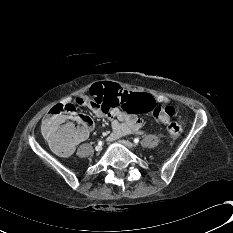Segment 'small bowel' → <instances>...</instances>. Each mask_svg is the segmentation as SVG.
<instances>
[{
	"instance_id": "1",
	"label": "small bowel",
	"mask_w": 233,
	"mask_h": 233,
	"mask_svg": "<svg viewBox=\"0 0 233 233\" xmlns=\"http://www.w3.org/2000/svg\"><path fill=\"white\" fill-rule=\"evenodd\" d=\"M89 92L90 89L87 94L78 96L74 100V103L71 104L88 108L99 118H109L112 126L113 139H118L129 134L142 133L143 121L137 116V113L120 109L118 106L96 103L91 99ZM151 95L154 97L155 102L169 103V98L164 95ZM73 148L74 145L65 153L60 154L63 156L69 155L73 151Z\"/></svg>"
}]
</instances>
